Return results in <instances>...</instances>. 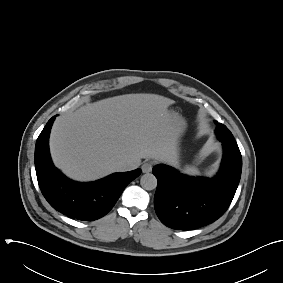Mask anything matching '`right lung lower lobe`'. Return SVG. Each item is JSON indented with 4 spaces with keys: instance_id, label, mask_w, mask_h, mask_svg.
Returning a JSON list of instances; mask_svg holds the SVG:
<instances>
[{
    "instance_id": "98d812e1",
    "label": "right lung lower lobe",
    "mask_w": 283,
    "mask_h": 283,
    "mask_svg": "<svg viewBox=\"0 0 283 283\" xmlns=\"http://www.w3.org/2000/svg\"><path fill=\"white\" fill-rule=\"evenodd\" d=\"M55 116L39 135L35 146V168L42 194L62 214L82 221H93L106 215L125 187L141 173V169L114 173L90 183H78L65 177L54 167L49 153V134Z\"/></svg>"
}]
</instances>
